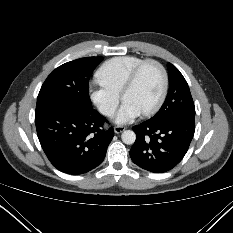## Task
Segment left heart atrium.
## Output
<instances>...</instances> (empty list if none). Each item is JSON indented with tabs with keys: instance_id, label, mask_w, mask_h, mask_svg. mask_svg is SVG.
I'll use <instances>...</instances> for the list:
<instances>
[{
	"instance_id": "1",
	"label": "left heart atrium",
	"mask_w": 233,
	"mask_h": 233,
	"mask_svg": "<svg viewBox=\"0 0 233 233\" xmlns=\"http://www.w3.org/2000/svg\"><path fill=\"white\" fill-rule=\"evenodd\" d=\"M141 114L140 110L131 103L124 101L119 109L115 121L118 124H126L137 118Z\"/></svg>"
}]
</instances>
